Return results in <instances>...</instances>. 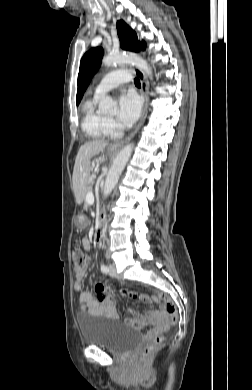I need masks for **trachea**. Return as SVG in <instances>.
<instances>
[{
	"instance_id": "obj_1",
	"label": "trachea",
	"mask_w": 252,
	"mask_h": 390,
	"mask_svg": "<svg viewBox=\"0 0 252 390\" xmlns=\"http://www.w3.org/2000/svg\"><path fill=\"white\" fill-rule=\"evenodd\" d=\"M134 82H135V85L140 87L141 86V83H140V79L139 78H135L134 79Z\"/></svg>"
}]
</instances>
